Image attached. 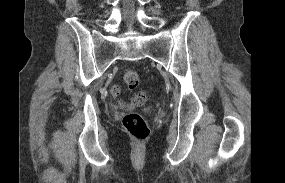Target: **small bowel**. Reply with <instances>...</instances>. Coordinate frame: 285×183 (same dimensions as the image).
Wrapping results in <instances>:
<instances>
[{
  "label": "small bowel",
  "mask_w": 285,
  "mask_h": 183,
  "mask_svg": "<svg viewBox=\"0 0 285 183\" xmlns=\"http://www.w3.org/2000/svg\"><path fill=\"white\" fill-rule=\"evenodd\" d=\"M111 94L113 97L118 98L121 94V87L119 85H113L111 87ZM121 105H125L122 101H119Z\"/></svg>",
  "instance_id": "obj_1"
}]
</instances>
